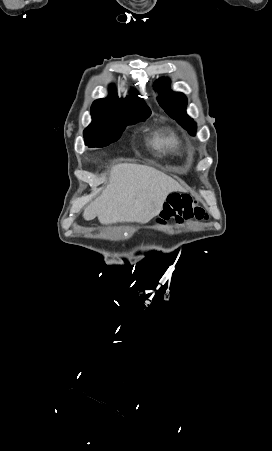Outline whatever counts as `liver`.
I'll return each instance as SVG.
<instances>
[{"instance_id": "1", "label": "liver", "mask_w": 272, "mask_h": 451, "mask_svg": "<svg viewBox=\"0 0 272 451\" xmlns=\"http://www.w3.org/2000/svg\"><path fill=\"white\" fill-rule=\"evenodd\" d=\"M171 192H184V188L163 172L140 164H117L111 168L105 190L85 208L83 218H98L101 224H146L159 216Z\"/></svg>"}]
</instances>
